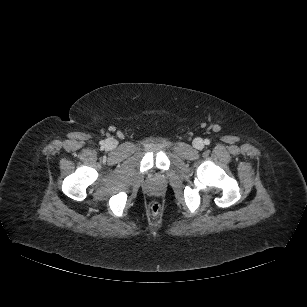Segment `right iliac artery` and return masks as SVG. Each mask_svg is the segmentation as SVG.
<instances>
[{"mask_svg": "<svg viewBox=\"0 0 307 307\" xmlns=\"http://www.w3.org/2000/svg\"><path fill=\"white\" fill-rule=\"evenodd\" d=\"M100 144H101V145H105V142H104V141H101Z\"/></svg>", "mask_w": 307, "mask_h": 307, "instance_id": "82829eb1", "label": "right iliac artery"}]
</instances>
